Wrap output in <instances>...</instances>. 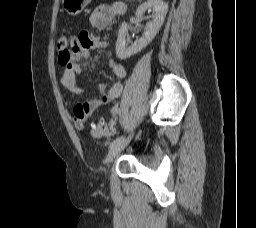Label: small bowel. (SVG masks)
I'll return each instance as SVG.
<instances>
[{
  "mask_svg": "<svg viewBox=\"0 0 256 228\" xmlns=\"http://www.w3.org/2000/svg\"><path fill=\"white\" fill-rule=\"evenodd\" d=\"M125 12V6L121 2L111 5H100L89 18V25L97 30L105 29L113 19ZM107 44L94 39L86 30L81 31L71 39L67 38V45L59 50V63L63 68L61 78L62 86L68 90L74 99H78L83 88L81 87L78 76L83 67H92L93 60L89 54L91 49L106 48ZM108 66L117 78L110 85H101V94L95 98L84 102L75 103L72 109L73 123L76 129L81 130L91 114L99 107L118 98L123 89L122 79L126 75L123 65L114 60H108ZM116 128L115 121H110L107 134L114 133Z\"/></svg>",
  "mask_w": 256,
  "mask_h": 228,
  "instance_id": "c3829d8e",
  "label": "small bowel"
}]
</instances>
